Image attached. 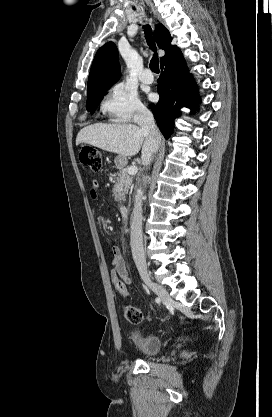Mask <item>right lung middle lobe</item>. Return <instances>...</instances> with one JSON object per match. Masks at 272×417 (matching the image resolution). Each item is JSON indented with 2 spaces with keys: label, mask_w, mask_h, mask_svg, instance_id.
Here are the masks:
<instances>
[{
  "label": "right lung middle lobe",
  "mask_w": 272,
  "mask_h": 417,
  "mask_svg": "<svg viewBox=\"0 0 272 417\" xmlns=\"http://www.w3.org/2000/svg\"><path fill=\"white\" fill-rule=\"evenodd\" d=\"M108 89L109 88L99 89V90H96L94 92L88 93L87 110L90 111L91 114H93L95 112V110L98 107L100 101L103 99V95L106 94Z\"/></svg>",
  "instance_id": "right-lung-middle-lobe-1"
}]
</instances>
